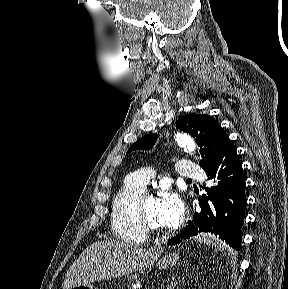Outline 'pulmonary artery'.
<instances>
[{
  "label": "pulmonary artery",
  "mask_w": 288,
  "mask_h": 289,
  "mask_svg": "<svg viewBox=\"0 0 288 289\" xmlns=\"http://www.w3.org/2000/svg\"><path fill=\"white\" fill-rule=\"evenodd\" d=\"M178 175L182 178L203 180L205 173L189 160H181L177 163ZM154 175V171L148 168L140 169L127 177L130 182L145 189L149 179Z\"/></svg>",
  "instance_id": "pulmonary-artery-1"
}]
</instances>
